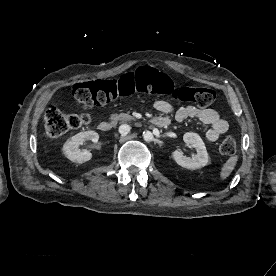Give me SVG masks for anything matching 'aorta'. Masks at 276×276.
<instances>
[{"instance_id": "1", "label": "aorta", "mask_w": 276, "mask_h": 276, "mask_svg": "<svg viewBox=\"0 0 276 276\" xmlns=\"http://www.w3.org/2000/svg\"><path fill=\"white\" fill-rule=\"evenodd\" d=\"M143 138H144L145 141L149 142V141H152L154 139V136H153L152 132L145 131L143 133Z\"/></svg>"}]
</instances>
